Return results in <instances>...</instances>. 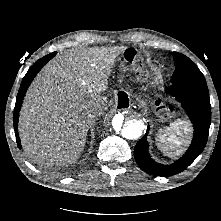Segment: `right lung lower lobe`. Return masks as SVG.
Listing matches in <instances>:
<instances>
[{
    "label": "right lung lower lobe",
    "instance_id": "right-lung-lower-lobe-1",
    "mask_svg": "<svg viewBox=\"0 0 221 221\" xmlns=\"http://www.w3.org/2000/svg\"><path fill=\"white\" fill-rule=\"evenodd\" d=\"M55 55H56V52H53V53L48 54V55L44 56L43 58L39 59L37 62H35L30 67V69L28 70V72L26 73L24 78L22 79V83H21V86H20V89H19V92L17 95V99H16V104H15V108H14V118H13L14 130H15L16 140H17V144H18L19 148H21V143H20V139L18 136V119H19V111L21 108V104L23 102V97L26 93L28 86L30 85L31 81L36 76V74Z\"/></svg>",
    "mask_w": 221,
    "mask_h": 221
}]
</instances>
